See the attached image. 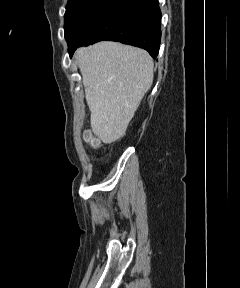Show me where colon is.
I'll list each match as a JSON object with an SVG mask.
<instances>
[{
    "mask_svg": "<svg viewBox=\"0 0 240 288\" xmlns=\"http://www.w3.org/2000/svg\"><path fill=\"white\" fill-rule=\"evenodd\" d=\"M84 139L91 147H93L95 149L101 148L100 141L97 138L93 137L90 133H85Z\"/></svg>",
    "mask_w": 240,
    "mask_h": 288,
    "instance_id": "5ec220e1",
    "label": "colon"
}]
</instances>
